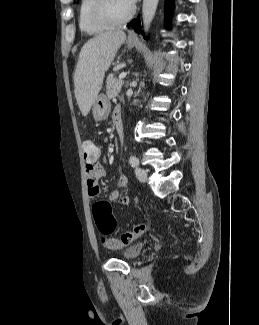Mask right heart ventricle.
I'll use <instances>...</instances> for the list:
<instances>
[{
    "label": "right heart ventricle",
    "mask_w": 259,
    "mask_h": 325,
    "mask_svg": "<svg viewBox=\"0 0 259 325\" xmlns=\"http://www.w3.org/2000/svg\"><path fill=\"white\" fill-rule=\"evenodd\" d=\"M94 0H80L78 6V25L80 30L87 35H97L109 27L96 23L91 16Z\"/></svg>",
    "instance_id": "e07e8e85"
}]
</instances>
